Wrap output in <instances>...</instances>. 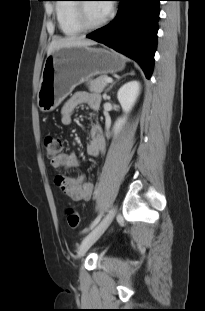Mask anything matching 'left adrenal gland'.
<instances>
[{"mask_svg":"<svg viewBox=\"0 0 205 311\" xmlns=\"http://www.w3.org/2000/svg\"><path fill=\"white\" fill-rule=\"evenodd\" d=\"M126 75H134V72L132 71V72H130V73H128V74H125V75H123V77H125ZM115 83H116V81L113 82V83L109 86V88L107 89V91H109V90L113 87V85H115Z\"/></svg>","mask_w":205,"mask_h":311,"instance_id":"obj_1","label":"left adrenal gland"}]
</instances>
